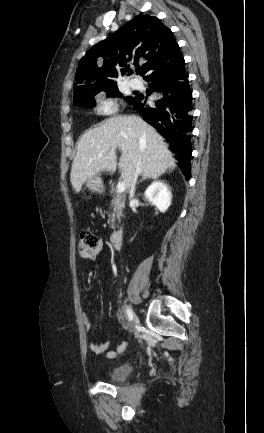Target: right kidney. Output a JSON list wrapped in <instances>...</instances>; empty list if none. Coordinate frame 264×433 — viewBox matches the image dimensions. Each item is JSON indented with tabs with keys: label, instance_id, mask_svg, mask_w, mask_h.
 <instances>
[{
	"label": "right kidney",
	"instance_id": "ca27d5eb",
	"mask_svg": "<svg viewBox=\"0 0 264 433\" xmlns=\"http://www.w3.org/2000/svg\"><path fill=\"white\" fill-rule=\"evenodd\" d=\"M144 195L148 201L155 205L162 213H164L171 205V192L168 186L161 181H154L147 188Z\"/></svg>",
	"mask_w": 264,
	"mask_h": 433
}]
</instances>
